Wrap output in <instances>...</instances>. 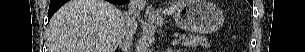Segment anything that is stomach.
Masks as SVG:
<instances>
[{
	"instance_id": "stomach-1",
	"label": "stomach",
	"mask_w": 305,
	"mask_h": 52,
	"mask_svg": "<svg viewBox=\"0 0 305 52\" xmlns=\"http://www.w3.org/2000/svg\"><path fill=\"white\" fill-rule=\"evenodd\" d=\"M176 24L194 33H212L224 23L222 10L207 0H187L175 13ZM161 25L162 21L155 22Z\"/></svg>"
}]
</instances>
